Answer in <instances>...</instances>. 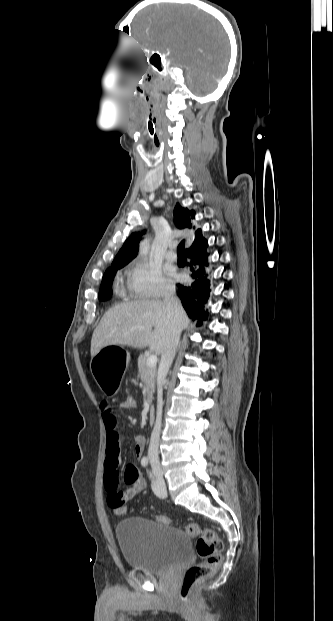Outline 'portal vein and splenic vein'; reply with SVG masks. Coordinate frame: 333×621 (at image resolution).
Segmentation results:
<instances>
[{
  "label": "portal vein and splenic vein",
  "mask_w": 333,
  "mask_h": 621,
  "mask_svg": "<svg viewBox=\"0 0 333 621\" xmlns=\"http://www.w3.org/2000/svg\"><path fill=\"white\" fill-rule=\"evenodd\" d=\"M157 363V356L156 355H150L147 359V364L148 366H156Z\"/></svg>",
  "instance_id": "18ae733b"
}]
</instances>
